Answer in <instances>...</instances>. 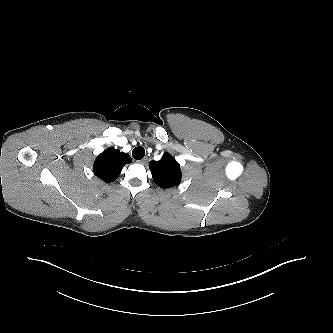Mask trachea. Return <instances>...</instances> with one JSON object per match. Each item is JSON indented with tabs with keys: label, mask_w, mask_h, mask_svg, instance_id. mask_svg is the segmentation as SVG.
Wrapping results in <instances>:
<instances>
[{
	"label": "trachea",
	"mask_w": 333,
	"mask_h": 333,
	"mask_svg": "<svg viewBox=\"0 0 333 333\" xmlns=\"http://www.w3.org/2000/svg\"><path fill=\"white\" fill-rule=\"evenodd\" d=\"M145 155V149L141 146L135 147L132 151V156L136 160H141Z\"/></svg>",
	"instance_id": "3493384b"
}]
</instances>
